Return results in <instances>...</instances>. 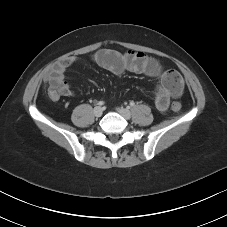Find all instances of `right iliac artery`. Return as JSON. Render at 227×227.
<instances>
[{"label":"right iliac artery","instance_id":"1","mask_svg":"<svg viewBox=\"0 0 227 227\" xmlns=\"http://www.w3.org/2000/svg\"><path fill=\"white\" fill-rule=\"evenodd\" d=\"M98 105L102 106V105H104V102L103 101H99Z\"/></svg>","mask_w":227,"mask_h":227}]
</instances>
